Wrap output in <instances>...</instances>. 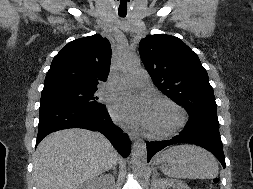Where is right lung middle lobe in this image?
<instances>
[{"label":"right lung middle lobe","mask_w":253,"mask_h":189,"mask_svg":"<svg viewBox=\"0 0 253 189\" xmlns=\"http://www.w3.org/2000/svg\"><path fill=\"white\" fill-rule=\"evenodd\" d=\"M96 87H58L42 91L41 104L45 103H65L86 106L90 108H106L99 103L98 97H94Z\"/></svg>","instance_id":"obj_1"}]
</instances>
